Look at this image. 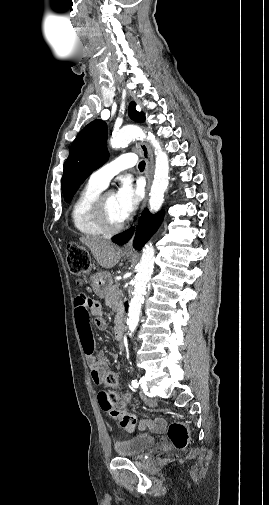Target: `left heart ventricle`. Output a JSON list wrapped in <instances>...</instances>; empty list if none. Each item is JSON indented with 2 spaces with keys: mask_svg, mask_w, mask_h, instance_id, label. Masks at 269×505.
I'll list each match as a JSON object with an SVG mask.
<instances>
[{
  "mask_svg": "<svg viewBox=\"0 0 269 505\" xmlns=\"http://www.w3.org/2000/svg\"><path fill=\"white\" fill-rule=\"evenodd\" d=\"M104 202H105V208H106L109 220L113 224H118V223L123 222L122 218L119 216L117 209H116L114 194H112V193L107 194Z\"/></svg>",
  "mask_w": 269,
  "mask_h": 505,
  "instance_id": "left-heart-ventricle-1",
  "label": "left heart ventricle"
}]
</instances>
